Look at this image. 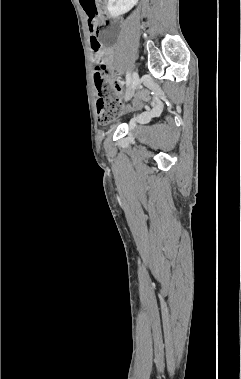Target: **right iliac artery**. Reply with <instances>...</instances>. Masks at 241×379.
I'll use <instances>...</instances> for the list:
<instances>
[{"instance_id": "1", "label": "right iliac artery", "mask_w": 241, "mask_h": 379, "mask_svg": "<svg viewBox=\"0 0 241 379\" xmlns=\"http://www.w3.org/2000/svg\"><path fill=\"white\" fill-rule=\"evenodd\" d=\"M131 83V74L129 72H127V75H126V85L127 87L130 85Z\"/></svg>"}]
</instances>
